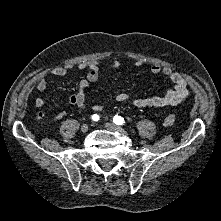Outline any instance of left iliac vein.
<instances>
[{
  "mask_svg": "<svg viewBox=\"0 0 221 221\" xmlns=\"http://www.w3.org/2000/svg\"><path fill=\"white\" fill-rule=\"evenodd\" d=\"M105 127L109 131H116V132H119V133H125L126 132L122 127H120V126H118L114 123H105Z\"/></svg>",
  "mask_w": 221,
  "mask_h": 221,
  "instance_id": "1",
  "label": "left iliac vein"
}]
</instances>
